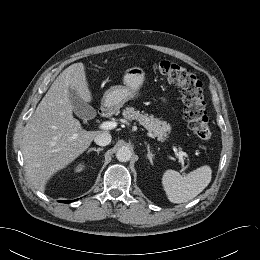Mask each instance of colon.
Returning <instances> with one entry per match:
<instances>
[{
	"mask_svg": "<svg viewBox=\"0 0 260 260\" xmlns=\"http://www.w3.org/2000/svg\"><path fill=\"white\" fill-rule=\"evenodd\" d=\"M157 73L182 90L185 118L191 131L201 140H209L211 129L206 112L202 82L187 68L160 61L155 65Z\"/></svg>",
	"mask_w": 260,
	"mask_h": 260,
	"instance_id": "5ec220e1",
	"label": "colon"
}]
</instances>
